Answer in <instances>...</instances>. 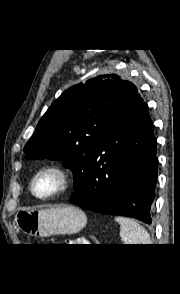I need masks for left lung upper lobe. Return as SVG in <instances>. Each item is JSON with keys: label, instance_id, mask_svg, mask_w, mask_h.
<instances>
[{"label": "left lung upper lobe", "instance_id": "obj_1", "mask_svg": "<svg viewBox=\"0 0 180 294\" xmlns=\"http://www.w3.org/2000/svg\"><path fill=\"white\" fill-rule=\"evenodd\" d=\"M137 95L136 86L116 74L70 87L40 119L24 147L26 157L61 160L73 172L77 193L95 151Z\"/></svg>", "mask_w": 180, "mask_h": 294}]
</instances>
